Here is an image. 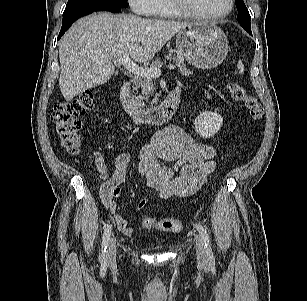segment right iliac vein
Segmentation results:
<instances>
[{
	"label": "right iliac vein",
	"instance_id": "63e3f726",
	"mask_svg": "<svg viewBox=\"0 0 307 301\" xmlns=\"http://www.w3.org/2000/svg\"><path fill=\"white\" fill-rule=\"evenodd\" d=\"M115 260H116V239L111 238L108 243V247L106 251V263L108 265H114Z\"/></svg>",
	"mask_w": 307,
	"mask_h": 301
}]
</instances>
